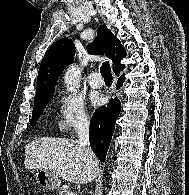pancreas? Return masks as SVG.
Returning a JSON list of instances; mask_svg holds the SVG:
<instances>
[{"label": "pancreas", "instance_id": "pancreas-1", "mask_svg": "<svg viewBox=\"0 0 189 195\" xmlns=\"http://www.w3.org/2000/svg\"><path fill=\"white\" fill-rule=\"evenodd\" d=\"M69 192H70V188L68 186H60L58 188L57 195H68Z\"/></svg>", "mask_w": 189, "mask_h": 195}]
</instances>
